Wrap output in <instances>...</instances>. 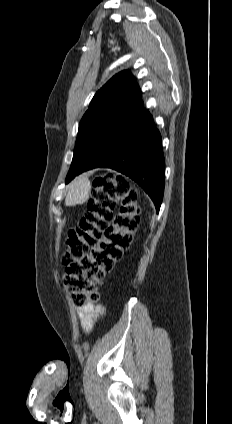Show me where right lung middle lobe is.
I'll use <instances>...</instances> for the list:
<instances>
[{"mask_svg": "<svg viewBox=\"0 0 232 424\" xmlns=\"http://www.w3.org/2000/svg\"><path fill=\"white\" fill-rule=\"evenodd\" d=\"M133 109L108 106L87 110L79 124L67 178L75 177L80 172L87 159L112 131L132 120Z\"/></svg>", "mask_w": 232, "mask_h": 424, "instance_id": "dd1d6c3e", "label": "right lung middle lobe"}]
</instances>
